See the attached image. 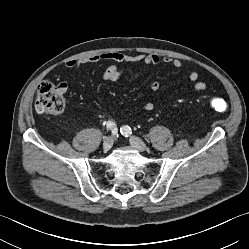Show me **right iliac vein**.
Listing matches in <instances>:
<instances>
[{
	"label": "right iliac vein",
	"instance_id": "63e3f726",
	"mask_svg": "<svg viewBox=\"0 0 249 249\" xmlns=\"http://www.w3.org/2000/svg\"><path fill=\"white\" fill-rule=\"evenodd\" d=\"M113 146V138L111 136L107 137L105 140H104V143H103V149L105 151H108L112 148Z\"/></svg>",
	"mask_w": 249,
	"mask_h": 249
}]
</instances>
